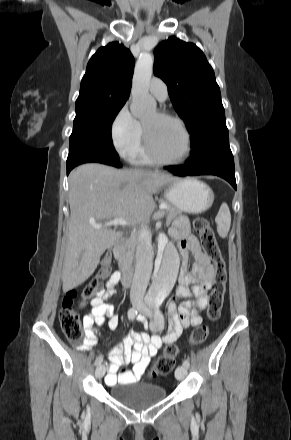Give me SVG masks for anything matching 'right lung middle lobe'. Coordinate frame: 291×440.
I'll return each mask as SVG.
<instances>
[{
    "label": "right lung middle lobe",
    "instance_id": "dd1d6c3e",
    "mask_svg": "<svg viewBox=\"0 0 291 440\" xmlns=\"http://www.w3.org/2000/svg\"><path fill=\"white\" fill-rule=\"evenodd\" d=\"M125 102L97 101L76 104V117L69 138V152L90 149L109 153L119 158L114 149L111 127Z\"/></svg>",
    "mask_w": 291,
    "mask_h": 440
}]
</instances>
